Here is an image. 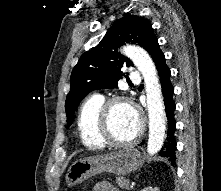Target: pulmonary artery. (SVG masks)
<instances>
[{
  "label": "pulmonary artery",
  "instance_id": "obj_1",
  "mask_svg": "<svg viewBox=\"0 0 221 191\" xmlns=\"http://www.w3.org/2000/svg\"><path fill=\"white\" fill-rule=\"evenodd\" d=\"M129 78L134 82H138L140 80L139 73L136 71H131L129 73Z\"/></svg>",
  "mask_w": 221,
  "mask_h": 191
}]
</instances>
